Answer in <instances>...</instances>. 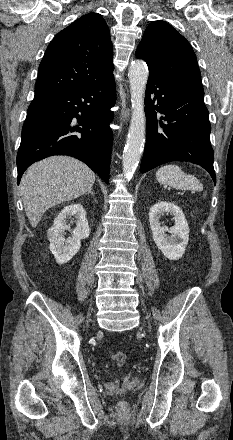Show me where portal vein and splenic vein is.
Masks as SVG:
<instances>
[{
  "label": "portal vein and splenic vein",
  "mask_w": 233,
  "mask_h": 440,
  "mask_svg": "<svg viewBox=\"0 0 233 440\" xmlns=\"http://www.w3.org/2000/svg\"><path fill=\"white\" fill-rule=\"evenodd\" d=\"M178 193H179V194H183V192H182V191H179Z\"/></svg>",
  "instance_id": "portal-vein-and-splenic-vein-1"
}]
</instances>
